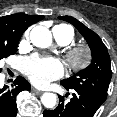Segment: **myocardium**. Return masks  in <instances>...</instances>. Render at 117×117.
Returning <instances> with one entry per match:
<instances>
[{
	"mask_svg": "<svg viewBox=\"0 0 117 117\" xmlns=\"http://www.w3.org/2000/svg\"><path fill=\"white\" fill-rule=\"evenodd\" d=\"M66 57L71 67L78 70L89 63L90 53L85 45H76L68 49Z\"/></svg>",
	"mask_w": 117,
	"mask_h": 117,
	"instance_id": "obj_1",
	"label": "myocardium"
}]
</instances>
